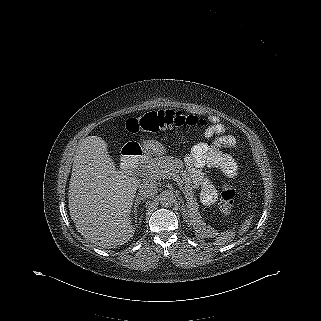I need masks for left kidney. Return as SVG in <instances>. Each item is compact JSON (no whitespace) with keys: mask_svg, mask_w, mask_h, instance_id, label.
Masks as SVG:
<instances>
[{"mask_svg":"<svg viewBox=\"0 0 321 321\" xmlns=\"http://www.w3.org/2000/svg\"><path fill=\"white\" fill-rule=\"evenodd\" d=\"M191 222H192L191 224H193V226L197 228L198 231L205 234L210 233L211 230L205 226V223L200 218L193 217V220H191Z\"/></svg>","mask_w":321,"mask_h":321,"instance_id":"1","label":"left kidney"}]
</instances>
